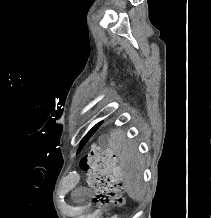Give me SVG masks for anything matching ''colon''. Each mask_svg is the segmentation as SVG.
I'll list each match as a JSON object with an SVG mask.
<instances>
[{
  "instance_id": "obj_1",
  "label": "colon",
  "mask_w": 211,
  "mask_h": 218,
  "mask_svg": "<svg viewBox=\"0 0 211 218\" xmlns=\"http://www.w3.org/2000/svg\"><path fill=\"white\" fill-rule=\"evenodd\" d=\"M80 167L87 172L89 185L97 192L100 204L120 206L124 181L115 154L100 147H93L80 161Z\"/></svg>"
}]
</instances>
